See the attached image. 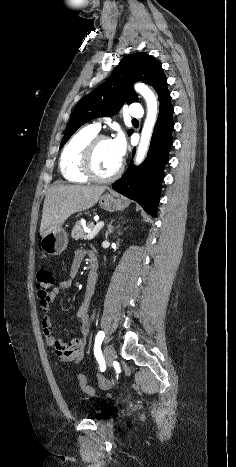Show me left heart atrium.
<instances>
[{
	"label": "left heart atrium",
	"instance_id": "1",
	"mask_svg": "<svg viewBox=\"0 0 236 467\" xmlns=\"http://www.w3.org/2000/svg\"><path fill=\"white\" fill-rule=\"evenodd\" d=\"M110 142L116 157L121 161L126 152V142L123 134L118 133Z\"/></svg>",
	"mask_w": 236,
	"mask_h": 467
}]
</instances>
